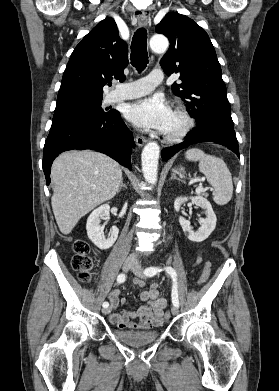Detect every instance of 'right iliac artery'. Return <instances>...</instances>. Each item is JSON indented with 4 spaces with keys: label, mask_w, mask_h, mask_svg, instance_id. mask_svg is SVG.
Returning a JSON list of instances; mask_svg holds the SVG:
<instances>
[{
    "label": "right iliac artery",
    "mask_w": 279,
    "mask_h": 391,
    "mask_svg": "<svg viewBox=\"0 0 279 391\" xmlns=\"http://www.w3.org/2000/svg\"><path fill=\"white\" fill-rule=\"evenodd\" d=\"M125 279H126L125 274L121 273V274H119L118 277H117V282H118V283H123V282L125 281ZM108 306H109V303H108V302H104V303H103V307H104V308H107Z\"/></svg>",
    "instance_id": "1"
}]
</instances>
